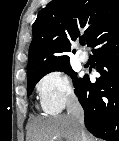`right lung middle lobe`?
Instances as JSON below:
<instances>
[{"label":"right lung middle lobe","instance_id":"dd1d6c3e","mask_svg":"<svg viewBox=\"0 0 119 141\" xmlns=\"http://www.w3.org/2000/svg\"><path fill=\"white\" fill-rule=\"evenodd\" d=\"M52 71H64L65 73H68L71 78L73 79V83L74 85L76 84V82L78 81L77 78V73L75 71H73L71 69V66L69 63L53 68V69H49V70H43V71H39L30 75H27V93L28 95H30L33 91L34 86L36 85V83L47 73H50Z\"/></svg>","mask_w":119,"mask_h":141}]
</instances>
